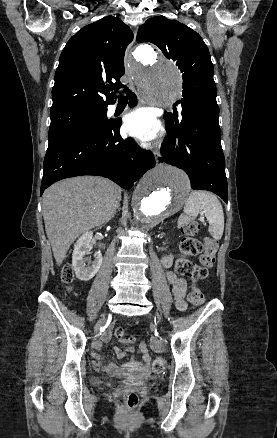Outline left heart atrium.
<instances>
[{"label": "left heart atrium", "mask_w": 277, "mask_h": 438, "mask_svg": "<svg viewBox=\"0 0 277 438\" xmlns=\"http://www.w3.org/2000/svg\"><path fill=\"white\" fill-rule=\"evenodd\" d=\"M124 128L141 141H147L156 136L159 124L149 108H139L125 117Z\"/></svg>", "instance_id": "left-heart-atrium-1"}]
</instances>
